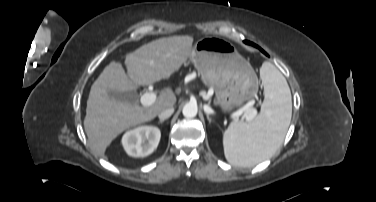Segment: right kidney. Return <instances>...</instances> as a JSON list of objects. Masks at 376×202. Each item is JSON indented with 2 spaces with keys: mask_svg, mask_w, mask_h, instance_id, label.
Segmentation results:
<instances>
[{
  "mask_svg": "<svg viewBox=\"0 0 376 202\" xmlns=\"http://www.w3.org/2000/svg\"><path fill=\"white\" fill-rule=\"evenodd\" d=\"M161 137L159 128L139 126L127 131L122 137V145L129 156L145 157L158 146Z\"/></svg>",
  "mask_w": 376,
  "mask_h": 202,
  "instance_id": "obj_1",
  "label": "right kidney"
}]
</instances>
